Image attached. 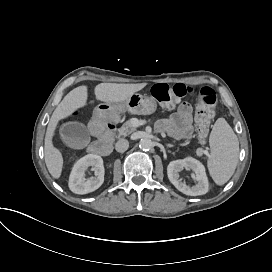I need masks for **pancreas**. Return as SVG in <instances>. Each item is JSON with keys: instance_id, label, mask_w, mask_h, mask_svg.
Here are the masks:
<instances>
[{"instance_id": "pancreas-1", "label": "pancreas", "mask_w": 272, "mask_h": 272, "mask_svg": "<svg viewBox=\"0 0 272 272\" xmlns=\"http://www.w3.org/2000/svg\"><path fill=\"white\" fill-rule=\"evenodd\" d=\"M114 122H119V119L116 118L114 120ZM136 130V127L133 125L132 123V120H128L126 121L122 126L121 128L118 129V137H121V136H127L129 134H131L132 132H134Z\"/></svg>"}]
</instances>
